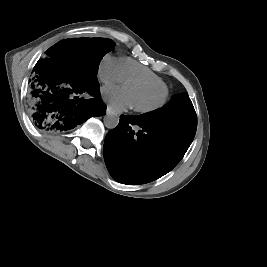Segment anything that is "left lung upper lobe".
<instances>
[{
    "instance_id": "1",
    "label": "left lung upper lobe",
    "mask_w": 267,
    "mask_h": 267,
    "mask_svg": "<svg viewBox=\"0 0 267 267\" xmlns=\"http://www.w3.org/2000/svg\"><path fill=\"white\" fill-rule=\"evenodd\" d=\"M152 120H169L183 122L197 127V116L187 93L177 94L162 108L141 115Z\"/></svg>"
}]
</instances>
